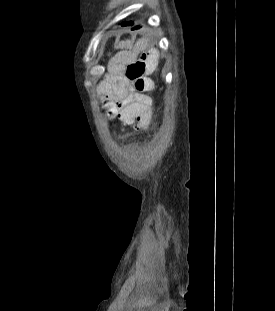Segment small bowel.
<instances>
[{"label":"small bowel","mask_w":275,"mask_h":311,"mask_svg":"<svg viewBox=\"0 0 275 311\" xmlns=\"http://www.w3.org/2000/svg\"><path fill=\"white\" fill-rule=\"evenodd\" d=\"M144 46H148L147 41ZM118 47L125 49L117 52L110 60L108 77L100 87L104 106L111 116L118 117L124 125H137L138 133H147L151 127L148 121L151 118L152 100L135 89L126 70L136 57L158 58L159 51L154 48L145 50L139 43L135 46L131 41H123Z\"/></svg>","instance_id":"c3829d8e"}]
</instances>
